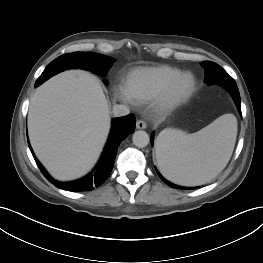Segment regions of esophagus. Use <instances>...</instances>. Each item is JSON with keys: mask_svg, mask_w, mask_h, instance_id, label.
<instances>
[{"mask_svg": "<svg viewBox=\"0 0 263 263\" xmlns=\"http://www.w3.org/2000/svg\"><path fill=\"white\" fill-rule=\"evenodd\" d=\"M147 127L146 123L142 120H138L136 122V128L137 129H145Z\"/></svg>", "mask_w": 263, "mask_h": 263, "instance_id": "1", "label": "esophagus"}]
</instances>
